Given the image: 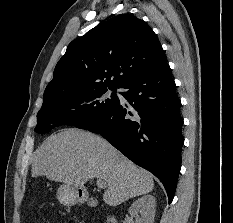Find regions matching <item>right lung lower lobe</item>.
Wrapping results in <instances>:
<instances>
[{
    "label": "right lung lower lobe",
    "mask_w": 233,
    "mask_h": 223,
    "mask_svg": "<svg viewBox=\"0 0 233 223\" xmlns=\"http://www.w3.org/2000/svg\"><path fill=\"white\" fill-rule=\"evenodd\" d=\"M120 88L129 105L120 102L79 128L101 134L137 165L163 183L173 199L184 143L181 102L169 65L136 77Z\"/></svg>",
    "instance_id": "1"
}]
</instances>
